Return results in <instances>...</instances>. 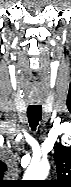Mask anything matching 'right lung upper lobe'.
Returning <instances> with one entry per match:
<instances>
[{
  "instance_id": "cb5924a9",
  "label": "right lung upper lobe",
  "mask_w": 71,
  "mask_h": 187,
  "mask_svg": "<svg viewBox=\"0 0 71 187\" xmlns=\"http://www.w3.org/2000/svg\"><path fill=\"white\" fill-rule=\"evenodd\" d=\"M6 170H7V167H6V165L4 164V165L2 166V170H1L2 175H4V173L6 172Z\"/></svg>"
}]
</instances>
